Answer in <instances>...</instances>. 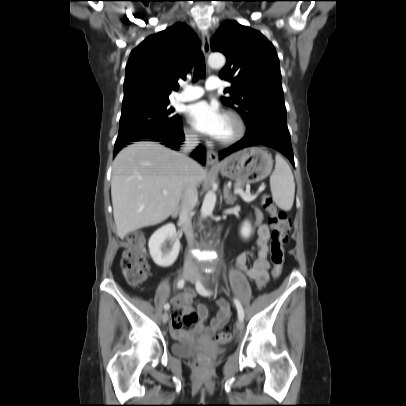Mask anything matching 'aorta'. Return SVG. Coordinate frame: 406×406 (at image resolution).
<instances>
[{
  "instance_id": "1",
  "label": "aorta",
  "mask_w": 406,
  "mask_h": 406,
  "mask_svg": "<svg viewBox=\"0 0 406 406\" xmlns=\"http://www.w3.org/2000/svg\"><path fill=\"white\" fill-rule=\"evenodd\" d=\"M226 62L225 56L221 53H212L208 57V64L211 68H221ZM216 203V194L213 190H209L204 197L201 207L202 218L210 215L213 212Z\"/></svg>"
}]
</instances>
